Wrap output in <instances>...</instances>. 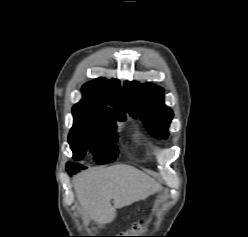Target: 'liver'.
<instances>
[{
  "mask_svg": "<svg viewBox=\"0 0 248 237\" xmlns=\"http://www.w3.org/2000/svg\"><path fill=\"white\" fill-rule=\"evenodd\" d=\"M73 186L84 215L99 226L112 222L117 208L144 199L160 189L154 179L127 164L82 172L75 177Z\"/></svg>",
  "mask_w": 248,
  "mask_h": 237,
  "instance_id": "6515ba94",
  "label": "liver"
}]
</instances>
